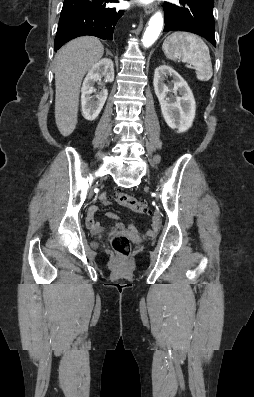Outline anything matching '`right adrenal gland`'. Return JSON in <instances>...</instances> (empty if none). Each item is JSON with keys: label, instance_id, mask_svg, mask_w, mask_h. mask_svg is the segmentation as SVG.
I'll use <instances>...</instances> for the list:
<instances>
[{"label": "right adrenal gland", "instance_id": "right-adrenal-gland-1", "mask_svg": "<svg viewBox=\"0 0 254 397\" xmlns=\"http://www.w3.org/2000/svg\"><path fill=\"white\" fill-rule=\"evenodd\" d=\"M109 54H110L109 50H108V49H106V55H109Z\"/></svg>", "mask_w": 254, "mask_h": 397}]
</instances>
